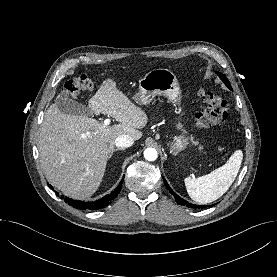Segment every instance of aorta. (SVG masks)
I'll use <instances>...</instances> for the list:
<instances>
[{"mask_svg": "<svg viewBox=\"0 0 277 277\" xmlns=\"http://www.w3.org/2000/svg\"><path fill=\"white\" fill-rule=\"evenodd\" d=\"M144 157L148 161H154V160H156L157 157H158L156 149L155 148H147L144 151Z\"/></svg>", "mask_w": 277, "mask_h": 277, "instance_id": "762f6f07", "label": "aorta"}]
</instances>
